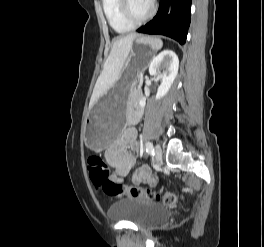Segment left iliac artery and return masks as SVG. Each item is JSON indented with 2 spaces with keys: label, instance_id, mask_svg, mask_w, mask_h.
Returning <instances> with one entry per match:
<instances>
[{
  "label": "left iliac artery",
  "instance_id": "left-iliac-artery-1",
  "mask_svg": "<svg viewBox=\"0 0 264 247\" xmlns=\"http://www.w3.org/2000/svg\"><path fill=\"white\" fill-rule=\"evenodd\" d=\"M146 152H147L148 154L154 155L153 144H152L150 141H148V142L146 143Z\"/></svg>",
  "mask_w": 264,
  "mask_h": 247
}]
</instances>
